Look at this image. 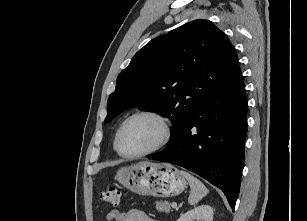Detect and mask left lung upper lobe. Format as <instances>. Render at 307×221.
<instances>
[{
  "mask_svg": "<svg viewBox=\"0 0 307 221\" xmlns=\"http://www.w3.org/2000/svg\"><path fill=\"white\" fill-rule=\"evenodd\" d=\"M237 64L234 47L212 22L198 19L186 23L153 39L133 56L108 98L105 122L125 109L138 107L169 118L176 134Z\"/></svg>",
  "mask_w": 307,
  "mask_h": 221,
  "instance_id": "obj_1",
  "label": "left lung upper lobe"
}]
</instances>
